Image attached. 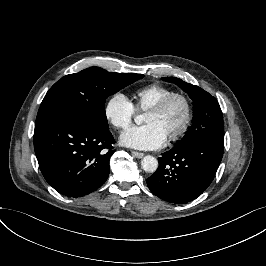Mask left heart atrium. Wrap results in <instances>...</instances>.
Returning <instances> with one entry per match:
<instances>
[{"mask_svg":"<svg viewBox=\"0 0 266 266\" xmlns=\"http://www.w3.org/2000/svg\"><path fill=\"white\" fill-rule=\"evenodd\" d=\"M166 139L165 133L154 123L133 126L121 135L123 144L144 150L159 148L166 142Z\"/></svg>","mask_w":266,"mask_h":266,"instance_id":"39dd6f15","label":"left heart atrium"}]
</instances>
